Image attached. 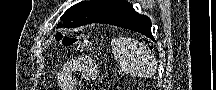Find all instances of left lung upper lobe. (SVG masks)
Listing matches in <instances>:
<instances>
[{
    "label": "left lung upper lobe",
    "instance_id": "1",
    "mask_svg": "<svg viewBox=\"0 0 216 90\" xmlns=\"http://www.w3.org/2000/svg\"><path fill=\"white\" fill-rule=\"evenodd\" d=\"M127 4L118 0L82 1L70 7L61 17L65 25L61 23L57 27L75 28L94 23L108 13Z\"/></svg>",
    "mask_w": 216,
    "mask_h": 90
}]
</instances>
